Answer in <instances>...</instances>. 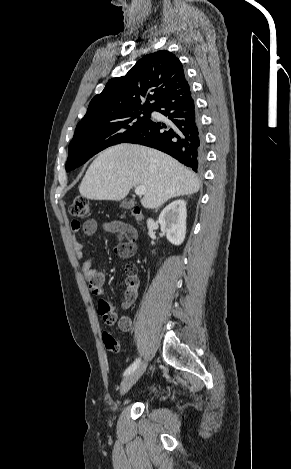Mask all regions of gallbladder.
I'll list each match as a JSON object with an SVG mask.
<instances>
[{
    "label": "gallbladder",
    "instance_id": "bac80fb5",
    "mask_svg": "<svg viewBox=\"0 0 291 469\" xmlns=\"http://www.w3.org/2000/svg\"><path fill=\"white\" fill-rule=\"evenodd\" d=\"M133 204L134 203L132 201H122L121 204H120V207H122L124 209H130V208H132Z\"/></svg>",
    "mask_w": 291,
    "mask_h": 469
}]
</instances>
